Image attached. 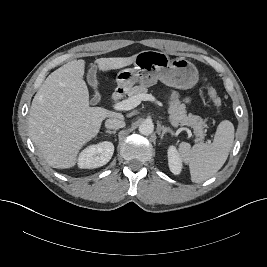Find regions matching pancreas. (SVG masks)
Segmentation results:
<instances>
[{"instance_id":"cf45deb5","label":"pancreas","mask_w":267,"mask_h":267,"mask_svg":"<svg viewBox=\"0 0 267 267\" xmlns=\"http://www.w3.org/2000/svg\"><path fill=\"white\" fill-rule=\"evenodd\" d=\"M148 89L144 86H135L128 92V97L139 94H146ZM168 113L169 119L175 126H189L193 128L194 134L196 135V141H202L204 139V128L207 127L206 122L200 116L188 114L186 107L178 99L170 97L168 101Z\"/></svg>"}]
</instances>
